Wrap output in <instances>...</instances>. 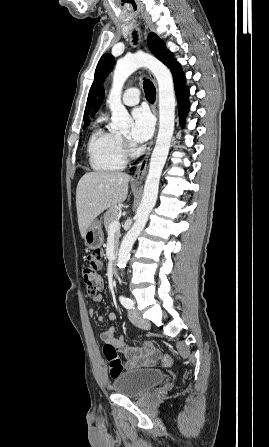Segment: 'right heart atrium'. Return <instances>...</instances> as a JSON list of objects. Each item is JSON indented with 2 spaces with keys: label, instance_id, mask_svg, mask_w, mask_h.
<instances>
[{
  "label": "right heart atrium",
  "instance_id": "d8ad5b80",
  "mask_svg": "<svg viewBox=\"0 0 269 447\" xmlns=\"http://www.w3.org/2000/svg\"><path fill=\"white\" fill-rule=\"evenodd\" d=\"M123 145H124V149H128V144L125 141H123Z\"/></svg>",
  "mask_w": 269,
  "mask_h": 447
}]
</instances>
